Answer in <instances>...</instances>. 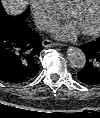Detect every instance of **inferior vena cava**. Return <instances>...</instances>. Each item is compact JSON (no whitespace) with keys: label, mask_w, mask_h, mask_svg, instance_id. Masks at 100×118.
I'll return each instance as SVG.
<instances>
[{"label":"inferior vena cava","mask_w":100,"mask_h":118,"mask_svg":"<svg viewBox=\"0 0 100 118\" xmlns=\"http://www.w3.org/2000/svg\"><path fill=\"white\" fill-rule=\"evenodd\" d=\"M36 27L39 30H48L50 27V23L47 20L39 19L35 21Z\"/></svg>","instance_id":"obj_1"}]
</instances>
